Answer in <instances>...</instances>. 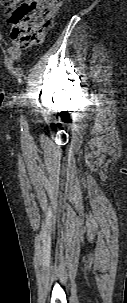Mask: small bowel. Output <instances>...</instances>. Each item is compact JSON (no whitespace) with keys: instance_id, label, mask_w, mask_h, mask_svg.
<instances>
[{"instance_id":"c3829d8e","label":"small bowel","mask_w":127,"mask_h":303,"mask_svg":"<svg viewBox=\"0 0 127 303\" xmlns=\"http://www.w3.org/2000/svg\"><path fill=\"white\" fill-rule=\"evenodd\" d=\"M8 53L15 60H18L20 58V55H21L20 50L17 49V48H14V47L8 48Z\"/></svg>"}]
</instances>
